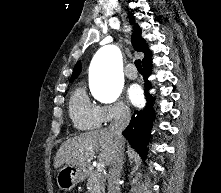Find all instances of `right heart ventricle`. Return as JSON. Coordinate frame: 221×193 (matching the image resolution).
<instances>
[{"label":"right heart ventricle","mask_w":221,"mask_h":193,"mask_svg":"<svg viewBox=\"0 0 221 193\" xmlns=\"http://www.w3.org/2000/svg\"><path fill=\"white\" fill-rule=\"evenodd\" d=\"M69 113L74 126L79 130H92L102 124L100 107L93 103L84 89L77 88L69 102Z\"/></svg>","instance_id":"right-heart-ventricle-1"}]
</instances>
